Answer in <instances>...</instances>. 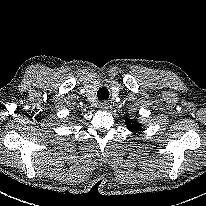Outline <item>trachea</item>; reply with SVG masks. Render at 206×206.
<instances>
[{
	"instance_id": "obj_1",
	"label": "trachea",
	"mask_w": 206,
	"mask_h": 206,
	"mask_svg": "<svg viewBox=\"0 0 206 206\" xmlns=\"http://www.w3.org/2000/svg\"><path fill=\"white\" fill-rule=\"evenodd\" d=\"M97 97L99 100L108 99L109 97L108 89H106L105 87L100 88L97 92Z\"/></svg>"
}]
</instances>
